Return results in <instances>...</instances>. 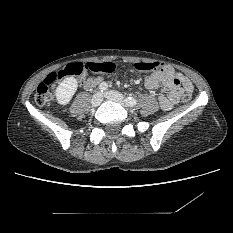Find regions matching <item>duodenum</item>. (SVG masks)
Wrapping results in <instances>:
<instances>
[{"instance_id":"obj_1","label":"duodenum","mask_w":233,"mask_h":233,"mask_svg":"<svg viewBox=\"0 0 233 233\" xmlns=\"http://www.w3.org/2000/svg\"><path fill=\"white\" fill-rule=\"evenodd\" d=\"M98 82H100V78H91V79H88L85 82L84 87L87 88V89H90V88L94 87Z\"/></svg>"}]
</instances>
